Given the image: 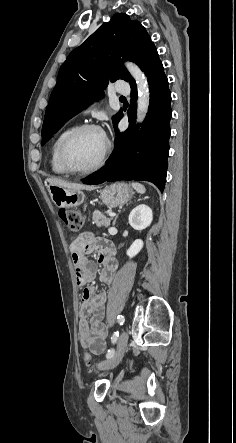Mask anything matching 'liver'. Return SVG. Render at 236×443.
Here are the masks:
<instances>
[{"instance_id": "1", "label": "liver", "mask_w": 236, "mask_h": 443, "mask_svg": "<svg viewBox=\"0 0 236 443\" xmlns=\"http://www.w3.org/2000/svg\"><path fill=\"white\" fill-rule=\"evenodd\" d=\"M47 181L50 183V185H56V186L69 188V189H75V190L93 189V187H91V186H84V185H80V184L68 183V182H65L60 179H47Z\"/></svg>"}]
</instances>
